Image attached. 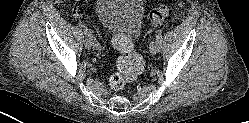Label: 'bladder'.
I'll use <instances>...</instances> for the list:
<instances>
[{
  "mask_svg": "<svg viewBox=\"0 0 249 123\" xmlns=\"http://www.w3.org/2000/svg\"><path fill=\"white\" fill-rule=\"evenodd\" d=\"M99 21L108 31L137 37L144 25L142 0H96Z\"/></svg>",
  "mask_w": 249,
  "mask_h": 123,
  "instance_id": "1",
  "label": "bladder"
}]
</instances>
